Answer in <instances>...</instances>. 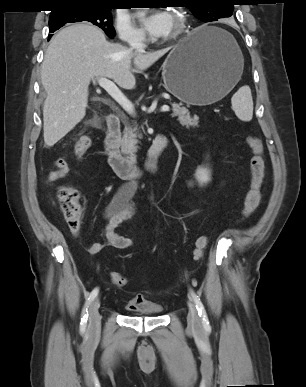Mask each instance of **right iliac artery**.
<instances>
[{
    "mask_svg": "<svg viewBox=\"0 0 306 387\" xmlns=\"http://www.w3.org/2000/svg\"><path fill=\"white\" fill-rule=\"evenodd\" d=\"M99 292L98 288L93 289V291L90 293L89 297L86 300L85 306L82 311V317L80 322V329L85 330L87 325V319H88V307L91 304V302L95 299Z\"/></svg>",
    "mask_w": 306,
    "mask_h": 387,
    "instance_id": "right-iliac-artery-1",
    "label": "right iliac artery"
}]
</instances>
